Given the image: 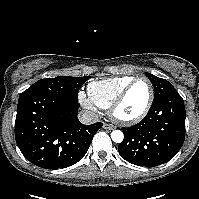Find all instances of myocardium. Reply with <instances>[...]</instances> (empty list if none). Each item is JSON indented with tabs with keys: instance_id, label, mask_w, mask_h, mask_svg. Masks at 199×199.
<instances>
[{
	"instance_id": "f54148a6",
	"label": "myocardium",
	"mask_w": 199,
	"mask_h": 199,
	"mask_svg": "<svg viewBox=\"0 0 199 199\" xmlns=\"http://www.w3.org/2000/svg\"><path fill=\"white\" fill-rule=\"evenodd\" d=\"M138 81H146L150 87L149 98L147 100V103H146L144 109L138 115H136L134 117L119 116L118 109L123 104L128 92ZM154 95H155V90H154L153 83L145 76L136 77L124 88V90L117 96V98L111 104V106L109 107V115L115 122L122 124V125H131V124L138 123L142 119H144L145 116L148 114V112L152 106L153 100H154Z\"/></svg>"
}]
</instances>
